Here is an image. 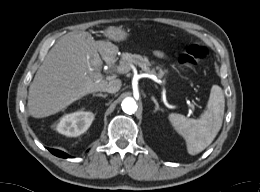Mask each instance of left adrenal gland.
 <instances>
[{"label":"left adrenal gland","mask_w":260,"mask_h":192,"mask_svg":"<svg viewBox=\"0 0 260 192\" xmlns=\"http://www.w3.org/2000/svg\"><path fill=\"white\" fill-rule=\"evenodd\" d=\"M151 98H152L153 102L155 103V110H154V112L156 113L158 110L162 111V109L159 107V104H158L157 100L155 99V97L152 96Z\"/></svg>","instance_id":"obj_1"}]
</instances>
